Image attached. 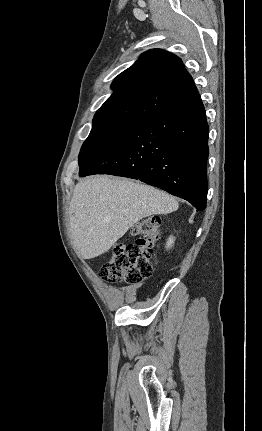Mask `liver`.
Wrapping results in <instances>:
<instances>
[{
  "instance_id": "liver-1",
  "label": "liver",
  "mask_w": 262,
  "mask_h": 431,
  "mask_svg": "<svg viewBox=\"0 0 262 431\" xmlns=\"http://www.w3.org/2000/svg\"><path fill=\"white\" fill-rule=\"evenodd\" d=\"M178 209L166 192L125 178L95 176L79 182L70 202V234L79 257L107 252L135 223Z\"/></svg>"
}]
</instances>
